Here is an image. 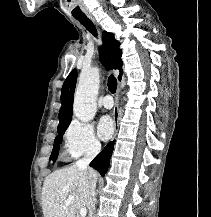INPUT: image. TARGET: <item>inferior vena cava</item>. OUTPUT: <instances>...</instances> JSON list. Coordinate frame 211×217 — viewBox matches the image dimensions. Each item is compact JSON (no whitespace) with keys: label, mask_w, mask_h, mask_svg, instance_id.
Returning <instances> with one entry per match:
<instances>
[{"label":"inferior vena cava","mask_w":211,"mask_h":217,"mask_svg":"<svg viewBox=\"0 0 211 217\" xmlns=\"http://www.w3.org/2000/svg\"><path fill=\"white\" fill-rule=\"evenodd\" d=\"M101 149L100 144H94L90 150L87 152L86 156L76 162V165L79 169H82L88 173L89 176V193L91 196V207L89 212V217H95L94 216V210H95V189H96V180L92 176V172L89 171V164L93 160V158L99 153Z\"/></svg>","instance_id":"602c4592"}]
</instances>
